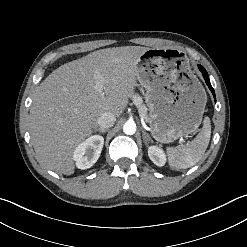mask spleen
<instances>
[{"label":"spleen","mask_w":247,"mask_h":247,"mask_svg":"<svg viewBox=\"0 0 247 247\" xmlns=\"http://www.w3.org/2000/svg\"><path fill=\"white\" fill-rule=\"evenodd\" d=\"M210 136V119L206 117L201 132L187 146L167 148L170 167L179 170L195 165L203 157L209 145Z\"/></svg>","instance_id":"obj_1"}]
</instances>
